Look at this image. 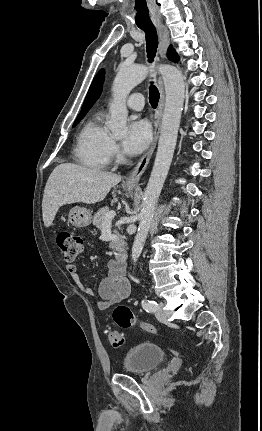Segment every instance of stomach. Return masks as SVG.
Segmentation results:
<instances>
[{
	"mask_svg": "<svg viewBox=\"0 0 262 431\" xmlns=\"http://www.w3.org/2000/svg\"><path fill=\"white\" fill-rule=\"evenodd\" d=\"M128 191H132L133 187H127ZM69 222L77 227L83 228L91 224L92 215L89 209L85 207L75 206L71 208L68 215Z\"/></svg>",
	"mask_w": 262,
	"mask_h": 431,
	"instance_id": "1",
	"label": "stomach"
}]
</instances>
